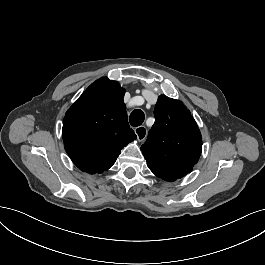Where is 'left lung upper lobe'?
<instances>
[{
	"mask_svg": "<svg viewBox=\"0 0 265 265\" xmlns=\"http://www.w3.org/2000/svg\"><path fill=\"white\" fill-rule=\"evenodd\" d=\"M154 116L156 121L141 150L157 177L175 181L198 162L202 136L190 111L178 100L159 96Z\"/></svg>",
	"mask_w": 265,
	"mask_h": 265,
	"instance_id": "5c2ea615",
	"label": "left lung upper lobe"
}]
</instances>
